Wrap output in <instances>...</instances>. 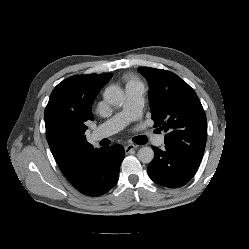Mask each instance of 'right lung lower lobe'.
Instances as JSON below:
<instances>
[{"label": "right lung lower lobe", "mask_w": 249, "mask_h": 249, "mask_svg": "<svg viewBox=\"0 0 249 249\" xmlns=\"http://www.w3.org/2000/svg\"><path fill=\"white\" fill-rule=\"evenodd\" d=\"M124 156L119 144L102 148L79 160L68 180L84 195H103L117 183Z\"/></svg>", "instance_id": "1"}]
</instances>
